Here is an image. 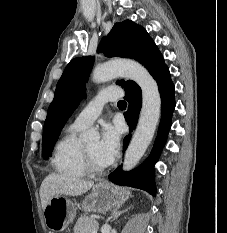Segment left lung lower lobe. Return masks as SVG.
<instances>
[{"label":"left lung lower lobe","instance_id":"0a47b994","mask_svg":"<svg viewBox=\"0 0 227 233\" xmlns=\"http://www.w3.org/2000/svg\"><path fill=\"white\" fill-rule=\"evenodd\" d=\"M161 94L162 117L159 125L158 134L149 157L138 168L124 172L118 167L108 178L117 185L130 186L147 191L151 195H156L154 181V166L157 162L162 148L166 142L168 131L171 127V117L175 108L174 92L175 87L171 81L168 67L163 68L155 77ZM125 99L129 102L128 110L125 113L127 124L132 131L138 122L139 112L142 105L141 89L129 90L125 93ZM131 135L124 138V150L129 144Z\"/></svg>","mask_w":227,"mask_h":233}]
</instances>
